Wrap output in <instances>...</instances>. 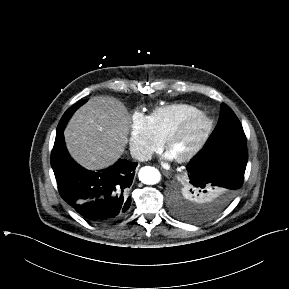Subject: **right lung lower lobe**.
<instances>
[{"mask_svg":"<svg viewBox=\"0 0 289 289\" xmlns=\"http://www.w3.org/2000/svg\"><path fill=\"white\" fill-rule=\"evenodd\" d=\"M138 163L120 159L113 166L92 172L67 152L63 130L56 133L51 166L61 197L89 222L109 223L124 217L131 204L128 191Z\"/></svg>","mask_w":289,"mask_h":289,"instance_id":"98d812e1","label":"right lung lower lobe"}]
</instances>
